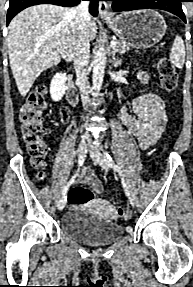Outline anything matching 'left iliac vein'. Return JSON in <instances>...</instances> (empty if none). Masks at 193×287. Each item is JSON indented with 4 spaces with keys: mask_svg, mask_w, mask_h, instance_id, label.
<instances>
[{
    "mask_svg": "<svg viewBox=\"0 0 193 287\" xmlns=\"http://www.w3.org/2000/svg\"><path fill=\"white\" fill-rule=\"evenodd\" d=\"M90 154H91L92 160L96 164L101 166L104 170L109 171L110 165L108 164V162L105 160L104 156L98 150L90 151ZM130 205L132 207H134V205H135L134 201L131 198H130Z\"/></svg>",
    "mask_w": 193,
    "mask_h": 287,
    "instance_id": "4c4485c4",
    "label": "left iliac vein"
}]
</instances>
